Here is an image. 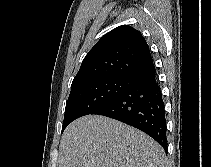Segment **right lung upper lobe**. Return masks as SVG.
I'll return each instance as SVG.
<instances>
[{
  "label": "right lung upper lobe",
  "mask_w": 211,
  "mask_h": 167,
  "mask_svg": "<svg viewBox=\"0 0 211 167\" xmlns=\"http://www.w3.org/2000/svg\"><path fill=\"white\" fill-rule=\"evenodd\" d=\"M152 64L141 32L121 25L104 35L85 56L71 88L102 77H128Z\"/></svg>",
  "instance_id": "cb5924a9"
}]
</instances>
